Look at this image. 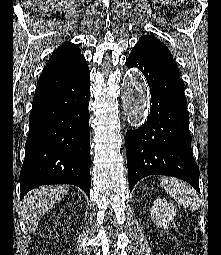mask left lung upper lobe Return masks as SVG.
Returning <instances> with one entry per match:
<instances>
[{
    "label": "left lung upper lobe",
    "instance_id": "1",
    "mask_svg": "<svg viewBox=\"0 0 221 255\" xmlns=\"http://www.w3.org/2000/svg\"><path fill=\"white\" fill-rule=\"evenodd\" d=\"M134 48L142 49L145 52L160 59L164 64H166L176 73L179 74L176 63L169 49L154 36L152 35L142 36L139 39V42L134 46Z\"/></svg>",
    "mask_w": 221,
    "mask_h": 255
}]
</instances>
